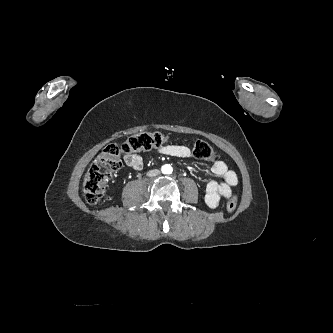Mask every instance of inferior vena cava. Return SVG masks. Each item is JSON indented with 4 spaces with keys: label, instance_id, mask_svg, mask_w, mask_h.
<instances>
[{
    "label": "inferior vena cava",
    "instance_id": "obj_1",
    "mask_svg": "<svg viewBox=\"0 0 333 333\" xmlns=\"http://www.w3.org/2000/svg\"><path fill=\"white\" fill-rule=\"evenodd\" d=\"M158 174H160V171L158 169L150 170L147 172V176L149 177H155Z\"/></svg>",
    "mask_w": 333,
    "mask_h": 333
}]
</instances>
